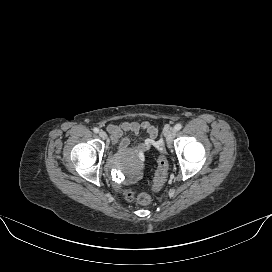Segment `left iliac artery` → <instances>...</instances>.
<instances>
[{
	"instance_id": "left-iliac-artery-1",
	"label": "left iliac artery",
	"mask_w": 272,
	"mask_h": 272,
	"mask_svg": "<svg viewBox=\"0 0 272 272\" xmlns=\"http://www.w3.org/2000/svg\"><path fill=\"white\" fill-rule=\"evenodd\" d=\"M181 128H182V125H181L180 123H178V124H176V125L174 126V129H175L176 131H179Z\"/></svg>"
}]
</instances>
